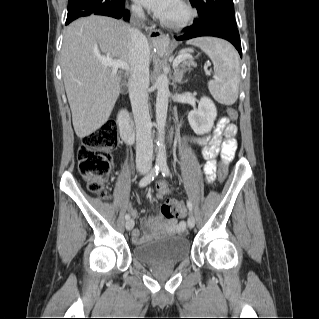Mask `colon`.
<instances>
[{"label":"colon","mask_w":319,"mask_h":319,"mask_svg":"<svg viewBox=\"0 0 319 319\" xmlns=\"http://www.w3.org/2000/svg\"><path fill=\"white\" fill-rule=\"evenodd\" d=\"M227 113L233 121L238 118V112L233 108H228ZM117 144V126L113 121H108L85 136L78 149L79 173L87 183L89 191L100 197L107 196L112 153ZM226 177L227 168L221 164L218 171L219 181L223 182ZM182 213V206L175 199L162 205V214L168 219L178 218Z\"/></svg>","instance_id":"5ec220e1"}]
</instances>
